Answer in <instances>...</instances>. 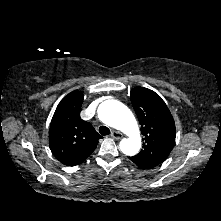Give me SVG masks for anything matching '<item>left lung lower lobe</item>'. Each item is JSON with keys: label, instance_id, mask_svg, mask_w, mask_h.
<instances>
[{"label": "left lung lower lobe", "instance_id": "obj_1", "mask_svg": "<svg viewBox=\"0 0 221 221\" xmlns=\"http://www.w3.org/2000/svg\"><path fill=\"white\" fill-rule=\"evenodd\" d=\"M131 161H133L138 167H140V168H142V169L152 168V166H150V165H148V164H145V163H142V162L133 160V159H131Z\"/></svg>", "mask_w": 221, "mask_h": 221}]
</instances>
